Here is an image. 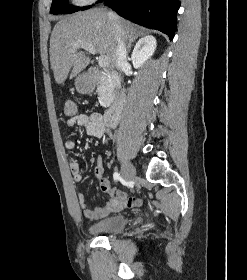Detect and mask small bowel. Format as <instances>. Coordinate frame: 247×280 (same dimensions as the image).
I'll return each mask as SVG.
<instances>
[{
  "instance_id": "1",
  "label": "small bowel",
  "mask_w": 247,
  "mask_h": 280,
  "mask_svg": "<svg viewBox=\"0 0 247 280\" xmlns=\"http://www.w3.org/2000/svg\"><path fill=\"white\" fill-rule=\"evenodd\" d=\"M67 125L69 127H82L88 135L97 138L109 134L110 132L105 123L104 116L99 112L78 114L69 119ZM65 147L67 149H74L76 147V140L73 136L67 137L65 140ZM70 168L74 180L76 182L83 181L84 169L76 159H71ZM94 174L99 182L100 189L109 195V199L103 206L90 209L88 207V201L85 194L83 192H79L77 194L78 203L87 219H101L108 216L109 214L119 212L127 207H134L141 204L140 200L128 198L124 192L111 187L109 180L103 177V167L100 157L97 159V165L94 169Z\"/></svg>"
}]
</instances>
